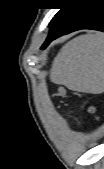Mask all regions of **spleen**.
Segmentation results:
<instances>
[{
	"instance_id": "obj_1",
	"label": "spleen",
	"mask_w": 104,
	"mask_h": 169,
	"mask_svg": "<svg viewBox=\"0 0 104 169\" xmlns=\"http://www.w3.org/2000/svg\"><path fill=\"white\" fill-rule=\"evenodd\" d=\"M50 80L72 91H104V39L100 33L80 35L66 43L55 57Z\"/></svg>"
}]
</instances>
